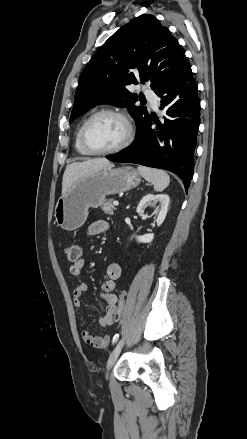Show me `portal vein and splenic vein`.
<instances>
[{
	"mask_svg": "<svg viewBox=\"0 0 247 439\" xmlns=\"http://www.w3.org/2000/svg\"><path fill=\"white\" fill-rule=\"evenodd\" d=\"M113 205H114V206H118V205H119V202H118V201H114V202H113Z\"/></svg>",
	"mask_w": 247,
	"mask_h": 439,
	"instance_id": "1",
	"label": "portal vein and splenic vein"
}]
</instances>
